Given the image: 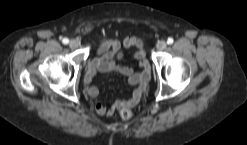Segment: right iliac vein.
Returning a JSON list of instances; mask_svg holds the SVG:
<instances>
[{
    "instance_id": "1",
    "label": "right iliac vein",
    "mask_w": 247,
    "mask_h": 145,
    "mask_svg": "<svg viewBox=\"0 0 247 145\" xmlns=\"http://www.w3.org/2000/svg\"><path fill=\"white\" fill-rule=\"evenodd\" d=\"M69 46L72 48V49H76L78 48L79 44L76 40H71L70 43H69Z\"/></svg>"
}]
</instances>
